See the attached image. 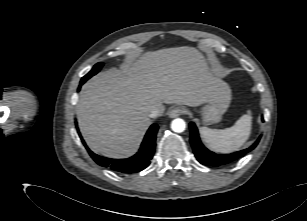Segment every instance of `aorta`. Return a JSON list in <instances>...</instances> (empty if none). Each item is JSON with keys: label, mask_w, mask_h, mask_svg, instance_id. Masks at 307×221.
I'll return each instance as SVG.
<instances>
[{"label": "aorta", "mask_w": 307, "mask_h": 221, "mask_svg": "<svg viewBox=\"0 0 307 221\" xmlns=\"http://www.w3.org/2000/svg\"><path fill=\"white\" fill-rule=\"evenodd\" d=\"M186 123L181 118H176L171 122V129L176 133H181L185 130Z\"/></svg>", "instance_id": "762f6f07"}]
</instances>
